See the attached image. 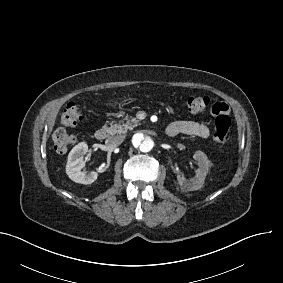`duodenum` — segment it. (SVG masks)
<instances>
[{
	"label": "duodenum",
	"instance_id": "410a0bca",
	"mask_svg": "<svg viewBox=\"0 0 283 283\" xmlns=\"http://www.w3.org/2000/svg\"><path fill=\"white\" fill-rule=\"evenodd\" d=\"M165 133L168 134L167 130H165ZM108 136H109V131L107 128L104 127L97 129L95 132V138L100 141L107 139Z\"/></svg>",
	"mask_w": 283,
	"mask_h": 283
}]
</instances>
